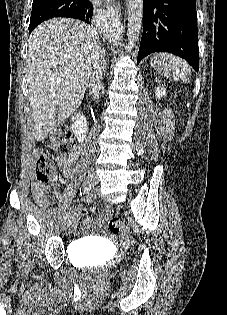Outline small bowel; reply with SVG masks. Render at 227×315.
Here are the masks:
<instances>
[{"mask_svg": "<svg viewBox=\"0 0 227 315\" xmlns=\"http://www.w3.org/2000/svg\"><path fill=\"white\" fill-rule=\"evenodd\" d=\"M79 156H80L79 149L74 148L68 156L57 157L56 159L57 167L63 176H70L71 167L73 164L77 162V160L79 159ZM51 191L57 199L61 198V192L55 184L52 185ZM32 192H33L34 198L36 199V201L38 202L40 206L44 207L49 203V199L46 194V188L44 186L33 184ZM76 211L80 217L87 219L88 213L83 207L79 206ZM106 212L110 213V209L106 208ZM72 229H75V225L72 227Z\"/></svg>", "mask_w": 227, "mask_h": 315, "instance_id": "small-bowel-1", "label": "small bowel"}]
</instances>
